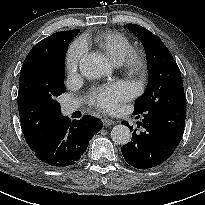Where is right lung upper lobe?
Returning a JSON list of instances; mask_svg holds the SVG:
<instances>
[{
    "label": "right lung upper lobe",
    "mask_w": 205,
    "mask_h": 205,
    "mask_svg": "<svg viewBox=\"0 0 205 205\" xmlns=\"http://www.w3.org/2000/svg\"><path fill=\"white\" fill-rule=\"evenodd\" d=\"M79 29L57 32L41 40L28 53L22 65L18 109L24 137L32 149L41 136L62 117L56 107V71L65 45Z\"/></svg>",
    "instance_id": "1"
}]
</instances>
